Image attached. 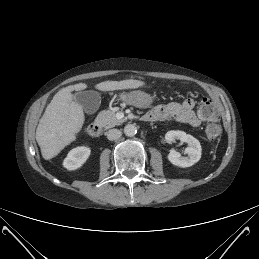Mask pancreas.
<instances>
[{"label":"pancreas","mask_w":259,"mask_h":259,"mask_svg":"<svg viewBox=\"0 0 259 259\" xmlns=\"http://www.w3.org/2000/svg\"><path fill=\"white\" fill-rule=\"evenodd\" d=\"M95 122L105 129L112 128L116 125H119L123 122V120H118L116 118L115 112L112 110H103L100 111L97 115Z\"/></svg>","instance_id":"cf45deb5"}]
</instances>
